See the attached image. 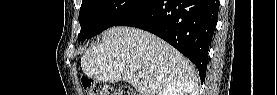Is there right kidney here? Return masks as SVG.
I'll return each instance as SVG.
<instances>
[{"instance_id": "obj_1", "label": "right kidney", "mask_w": 277, "mask_h": 95, "mask_svg": "<svg viewBox=\"0 0 277 95\" xmlns=\"http://www.w3.org/2000/svg\"><path fill=\"white\" fill-rule=\"evenodd\" d=\"M196 84L191 81L178 80L164 88L159 95H196Z\"/></svg>"}]
</instances>
